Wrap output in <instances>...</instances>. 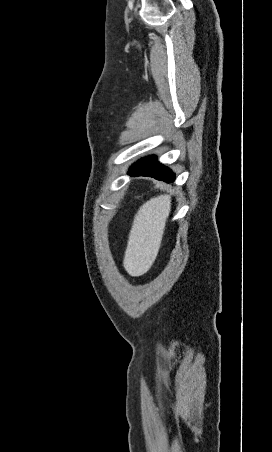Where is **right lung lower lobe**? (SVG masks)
<instances>
[{"label": "right lung lower lobe", "mask_w": 272, "mask_h": 452, "mask_svg": "<svg viewBox=\"0 0 272 452\" xmlns=\"http://www.w3.org/2000/svg\"><path fill=\"white\" fill-rule=\"evenodd\" d=\"M129 174L131 176H149L167 183H171L175 179L174 173L161 165L153 156L138 161L130 168Z\"/></svg>", "instance_id": "1"}]
</instances>
